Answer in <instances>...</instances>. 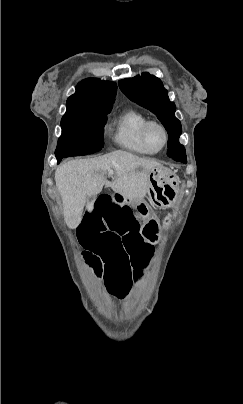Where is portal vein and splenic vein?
<instances>
[{
  "label": "portal vein and splenic vein",
  "instance_id": "obj_1",
  "mask_svg": "<svg viewBox=\"0 0 243 404\" xmlns=\"http://www.w3.org/2000/svg\"><path fill=\"white\" fill-rule=\"evenodd\" d=\"M114 172L113 170H109V176H113Z\"/></svg>",
  "mask_w": 243,
  "mask_h": 404
}]
</instances>
